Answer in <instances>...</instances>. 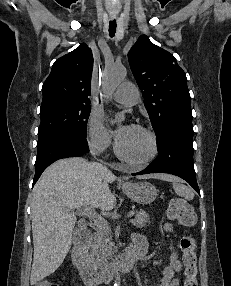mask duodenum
Listing matches in <instances>:
<instances>
[{
    "mask_svg": "<svg viewBox=\"0 0 231 286\" xmlns=\"http://www.w3.org/2000/svg\"><path fill=\"white\" fill-rule=\"evenodd\" d=\"M89 243L90 233L84 231L72 250V260L84 283L91 286L100 283H109L119 274L129 272L146 252V242L138 239L134 243L133 248L127 250L108 266L98 270L87 260L86 254Z\"/></svg>",
    "mask_w": 231,
    "mask_h": 286,
    "instance_id": "obj_1",
    "label": "duodenum"
}]
</instances>
